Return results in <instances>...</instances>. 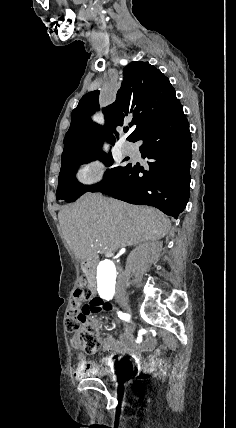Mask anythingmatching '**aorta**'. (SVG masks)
<instances>
[{
    "label": "aorta",
    "mask_w": 236,
    "mask_h": 428,
    "mask_svg": "<svg viewBox=\"0 0 236 428\" xmlns=\"http://www.w3.org/2000/svg\"><path fill=\"white\" fill-rule=\"evenodd\" d=\"M98 293L105 296L112 294L116 289L118 279V267L110 259L101 261L97 266Z\"/></svg>",
    "instance_id": "obj_1"
}]
</instances>
